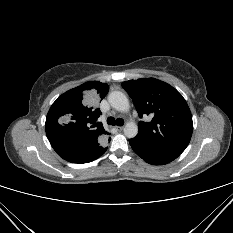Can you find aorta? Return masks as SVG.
<instances>
[{
  "label": "aorta",
  "instance_id": "762f6f07",
  "mask_svg": "<svg viewBox=\"0 0 233 233\" xmlns=\"http://www.w3.org/2000/svg\"><path fill=\"white\" fill-rule=\"evenodd\" d=\"M110 105L120 112H127L129 110V100L127 96L120 91H113L108 96ZM138 133V126L135 122L130 121L124 127V134L128 138H134Z\"/></svg>",
  "mask_w": 233,
  "mask_h": 233
}]
</instances>
